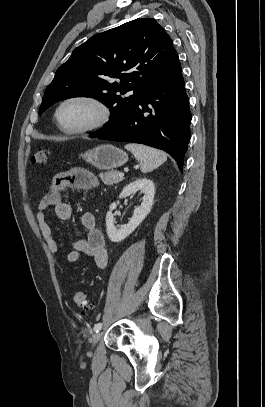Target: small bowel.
<instances>
[{
    "instance_id": "small-bowel-1",
    "label": "small bowel",
    "mask_w": 265,
    "mask_h": 407,
    "mask_svg": "<svg viewBox=\"0 0 265 407\" xmlns=\"http://www.w3.org/2000/svg\"><path fill=\"white\" fill-rule=\"evenodd\" d=\"M99 185L97 177L82 168H74L67 172L57 174L47 188V192L41 197L36 213L39 229L48 248L57 254L58 246L55 235L49 223L46 221V212L53 208L56 216L61 220H69L72 216L71 207L63 200V192L69 187L93 190ZM80 227L85 233V239L71 242V250L66 256V262L73 264L82 255L93 259L96 266L104 269L108 263L105 237L97 226L95 217L84 214L80 219Z\"/></svg>"
}]
</instances>
